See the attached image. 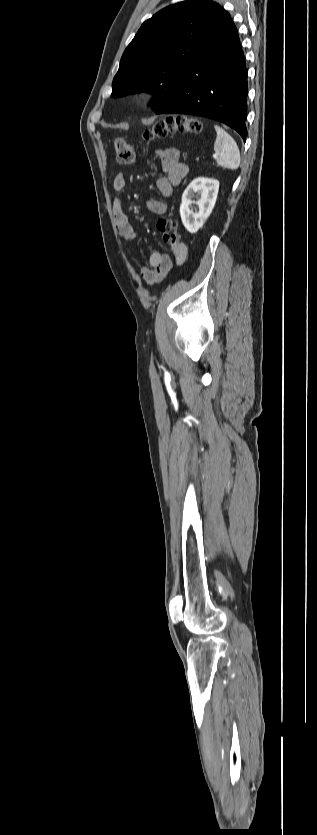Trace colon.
I'll return each mask as SVG.
<instances>
[{"label": "colon", "instance_id": "1", "mask_svg": "<svg viewBox=\"0 0 317 835\" xmlns=\"http://www.w3.org/2000/svg\"><path fill=\"white\" fill-rule=\"evenodd\" d=\"M201 130L200 123L191 117H177L167 118L156 122L151 128L144 132V139L146 141H154L163 139L169 134L180 133H198ZM114 148L116 152L117 161L120 164L131 165L136 161V152L132 145H130L124 138L118 137L114 141ZM157 228L162 235L163 240L170 245H176L180 241L178 232V224L175 219L167 216H162L157 221Z\"/></svg>", "mask_w": 317, "mask_h": 835}]
</instances>
